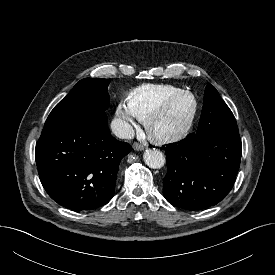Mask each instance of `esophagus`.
I'll use <instances>...</instances> for the list:
<instances>
[{
	"label": "esophagus",
	"instance_id": "34e87169",
	"mask_svg": "<svg viewBox=\"0 0 275 275\" xmlns=\"http://www.w3.org/2000/svg\"><path fill=\"white\" fill-rule=\"evenodd\" d=\"M133 149H134L135 151H142V150L145 149V146H144L143 144H141V143L135 142V143L133 144Z\"/></svg>",
	"mask_w": 275,
	"mask_h": 275
}]
</instances>
